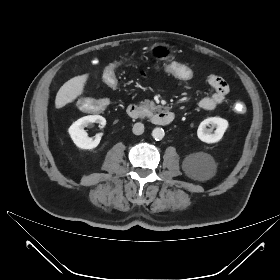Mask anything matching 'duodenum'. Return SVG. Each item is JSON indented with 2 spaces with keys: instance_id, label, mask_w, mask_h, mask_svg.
<instances>
[{
  "instance_id": "obj_1",
  "label": "duodenum",
  "mask_w": 280,
  "mask_h": 280,
  "mask_svg": "<svg viewBox=\"0 0 280 280\" xmlns=\"http://www.w3.org/2000/svg\"><path fill=\"white\" fill-rule=\"evenodd\" d=\"M127 114L132 119H139V118L146 117L141 107L134 103L128 105ZM174 117H175L174 112L170 110H163L152 115L151 117H149V119L153 124L166 126L169 125L174 120Z\"/></svg>"
}]
</instances>
